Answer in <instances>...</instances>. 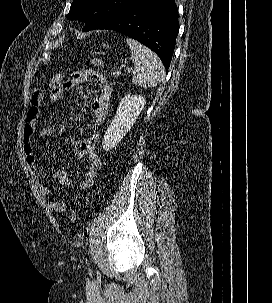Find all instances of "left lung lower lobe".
I'll use <instances>...</instances> for the list:
<instances>
[{"label":"left lung lower lobe","instance_id":"obj_1","mask_svg":"<svg viewBox=\"0 0 272 303\" xmlns=\"http://www.w3.org/2000/svg\"><path fill=\"white\" fill-rule=\"evenodd\" d=\"M95 29L114 30L153 50L169 68L179 31L174 0H140Z\"/></svg>","mask_w":272,"mask_h":303}]
</instances>
